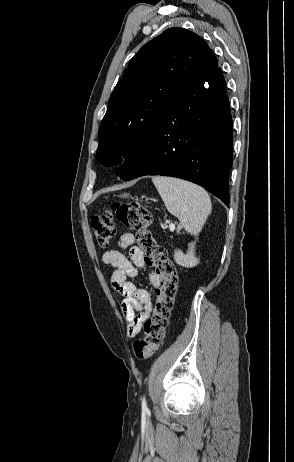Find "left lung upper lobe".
<instances>
[{
	"label": "left lung upper lobe",
	"mask_w": 294,
	"mask_h": 462,
	"mask_svg": "<svg viewBox=\"0 0 294 462\" xmlns=\"http://www.w3.org/2000/svg\"><path fill=\"white\" fill-rule=\"evenodd\" d=\"M217 67L207 43L183 28H170L144 45L109 99L99 128V161L114 165L126 160L178 94Z\"/></svg>",
	"instance_id": "5c2ea615"
}]
</instances>
